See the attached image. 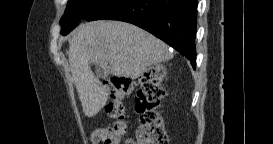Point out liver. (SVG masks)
<instances>
[{
  "label": "liver",
  "mask_w": 273,
  "mask_h": 144,
  "mask_svg": "<svg viewBox=\"0 0 273 144\" xmlns=\"http://www.w3.org/2000/svg\"><path fill=\"white\" fill-rule=\"evenodd\" d=\"M168 48L150 33L126 22L82 24L69 41L68 57L84 114L95 116L110 94L108 87L94 76L90 62L108 68L117 77L136 79L150 66L171 59L173 55Z\"/></svg>",
  "instance_id": "6515ba94"
}]
</instances>
